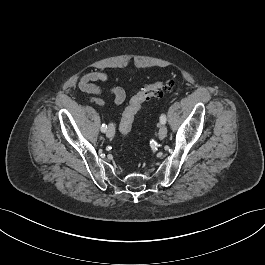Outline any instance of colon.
I'll return each instance as SVG.
<instances>
[{
    "mask_svg": "<svg viewBox=\"0 0 265 265\" xmlns=\"http://www.w3.org/2000/svg\"><path fill=\"white\" fill-rule=\"evenodd\" d=\"M173 82L169 80L155 81L148 84L130 100L129 105L123 112L119 130L122 135H128L131 131L136 114L142 109L145 102L159 98L164 92L171 90Z\"/></svg>",
    "mask_w": 265,
    "mask_h": 265,
    "instance_id": "1",
    "label": "colon"
}]
</instances>
